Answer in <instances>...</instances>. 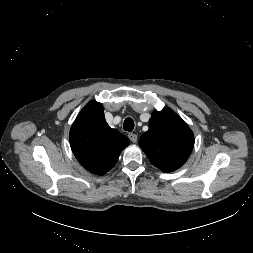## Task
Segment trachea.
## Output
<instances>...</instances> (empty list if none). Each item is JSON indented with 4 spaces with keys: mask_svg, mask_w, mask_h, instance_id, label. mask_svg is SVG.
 Masks as SVG:
<instances>
[{
    "mask_svg": "<svg viewBox=\"0 0 253 253\" xmlns=\"http://www.w3.org/2000/svg\"><path fill=\"white\" fill-rule=\"evenodd\" d=\"M123 128L125 131H132L134 129V121L132 118H126L123 124Z\"/></svg>",
    "mask_w": 253,
    "mask_h": 253,
    "instance_id": "3493384b",
    "label": "trachea"
}]
</instances>
